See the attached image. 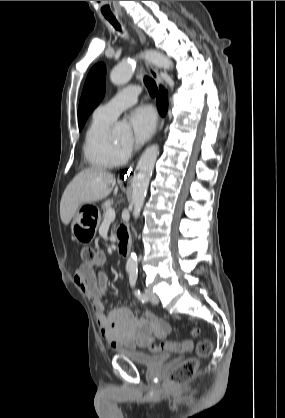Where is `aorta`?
<instances>
[{
	"mask_svg": "<svg viewBox=\"0 0 285 418\" xmlns=\"http://www.w3.org/2000/svg\"><path fill=\"white\" fill-rule=\"evenodd\" d=\"M144 56L149 62L154 64L159 68L169 70L173 68V63L168 59L164 54L155 51L149 50L144 54ZM135 70V60L126 59L123 60L120 64L114 67L110 73V80L113 84L117 86L124 85L130 81ZM129 133L127 127L116 126L113 134L117 138H122L123 136ZM159 153L158 145L149 146L141 155L138 164L136 166V172L132 180V204H133V217L136 220L141 212L144 200L146 197L147 189L149 182L154 170V165L157 160ZM138 267L137 255L132 252L127 259L126 269L129 272H136Z\"/></svg>",
	"mask_w": 285,
	"mask_h": 418,
	"instance_id": "obj_1",
	"label": "aorta"
}]
</instances>
